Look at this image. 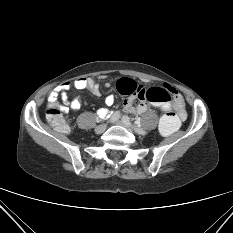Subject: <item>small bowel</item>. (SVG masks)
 Masks as SVG:
<instances>
[{
  "label": "small bowel",
  "instance_id": "1",
  "mask_svg": "<svg viewBox=\"0 0 233 233\" xmlns=\"http://www.w3.org/2000/svg\"><path fill=\"white\" fill-rule=\"evenodd\" d=\"M74 87L76 89H88L93 95L98 96L100 95L99 85L97 81L94 78H78L73 81V83L70 82H64L58 86H56L51 93L49 94V102L50 103H56L58 96L61 97L63 102L69 106V108L73 111L78 110L82 105V100L80 98H75L73 100L68 99V91L71 89V87ZM106 86L108 87L109 84L107 83ZM164 88L171 92L172 94V102H171V108L176 111V113L179 115L181 120H184L186 118V111H185V104L182 96L179 94V92L171 85H164ZM115 98L113 95H109L105 99V104L107 106H112L114 104ZM124 108L129 112L133 114H141L144 113L147 108L148 104L145 101H140L138 104H134V97L126 98L123 102ZM96 114L101 118H106L111 115V112L106 108H98L96 110Z\"/></svg>",
  "mask_w": 233,
  "mask_h": 233
}]
</instances>
